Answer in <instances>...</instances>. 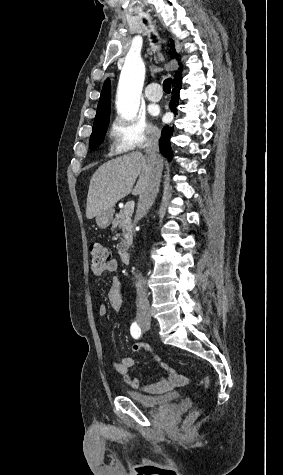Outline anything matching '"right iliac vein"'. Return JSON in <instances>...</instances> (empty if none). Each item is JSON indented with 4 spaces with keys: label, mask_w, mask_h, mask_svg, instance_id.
<instances>
[{
    "label": "right iliac vein",
    "mask_w": 283,
    "mask_h": 475,
    "mask_svg": "<svg viewBox=\"0 0 283 475\" xmlns=\"http://www.w3.org/2000/svg\"><path fill=\"white\" fill-rule=\"evenodd\" d=\"M149 320H150V315H145L144 317H142V319L140 320V322H141L142 324H145V323H147V321H149Z\"/></svg>",
    "instance_id": "63e3f726"
}]
</instances>
